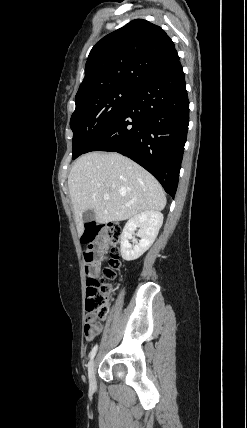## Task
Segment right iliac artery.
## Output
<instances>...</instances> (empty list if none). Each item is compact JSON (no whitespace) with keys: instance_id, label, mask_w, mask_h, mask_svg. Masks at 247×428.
<instances>
[{"instance_id":"obj_1","label":"right iliac artery","mask_w":247,"mask_h":428,"mask_svg":"<svg viewBox=\"0 0 247 428\" xmlns=\"http://www.w3.org/2000/svg\"><path fill=\"white\" fill-rule=\"evenodd\" d=\"M97 349H98V345H95V346L93 347V349L91 350V352H90V354H89V357H90V359H91V360H92V359L94 358V356L96 355Z\"/></svg>"}]
</instances>
